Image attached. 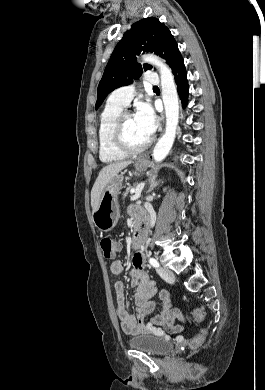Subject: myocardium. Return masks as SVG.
Wrapping results in <instances>:
<instances>
[{
  "label": "myocardium",
  "instance_id": "myocardium-1",
  "mask_svg": "<svg viewBox=\"0 0 265 390\" xmlns=\"http://www.w3.org/2000/svg\"><path fill=\"white\" fill-rule=\"evenodd\" d=\"M129 116H133L130 111H123L118 116L113 128L112 140L116 149L121 153L125 155H137L145 151L150 145L151 141L150 139H148L144 144L139 147H132L127 143L124 135V123Z\"/></svg>",
  "mask_w": 265,
  "mask_h": 390
}]
</instances>
